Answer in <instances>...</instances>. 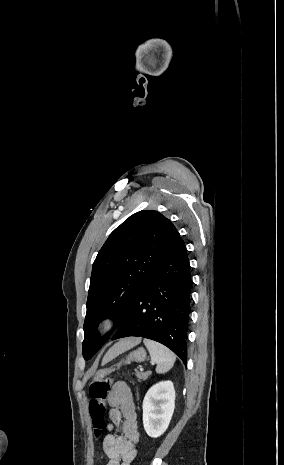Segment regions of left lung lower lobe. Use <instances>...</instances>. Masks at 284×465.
<instances>
[{
	"label": "left lung lower lobe",
	"instance_id": "0a47b994",
	"mask_svg": "<svg viewBox=\"0 0 284 465\" xmlns=\"http://www.w3.org/2000/svg\"><path fill=\"white\" fill-rule=\"evenodd\" d=\"M191 287L187 250L179 237L135 295L112 340L128 336L155 340L186 365Z\"/></svg>",
	"mask_w": 284,
	"mask_h": 465
}]
</instances>
